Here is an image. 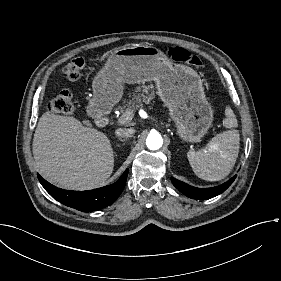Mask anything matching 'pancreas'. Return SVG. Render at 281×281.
<instances>
[{"instance_id":"obj_1","label":"pancreas","mask_w":281,"mask_h":281,"mask_svg":"<svg viewBox=\"0 0 281 281\" xmlns=\"http://www.w3.org/2000/svg\"><path fill=\"white\" fill-rule=\"evenodd\" d=\"M153 88L154 86L152 84L148 86H137L134 92L130 95L132 96V99L129 100L125 106L119 108L122 114L127 113L131 108L138 109L142 107L143 104H149L154 98V91H152Z\"/></svg>"}]
</instances>
